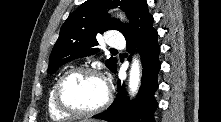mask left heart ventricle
I'll use <instances>...</instances> for the list:
<instances>
[{
  "mask_svg": "<svg viewBox=\"0 0 221 122\" xmlns=\"http://www.w3.org/2000/svg\"><path fill=\"white\" fill-rule=\"evenodd\" d=\"M106 88L103 81L91 74H79L64 86L65 101L78 109L89 110L97 107L105 98Z\"/></svg>",
  "mask_w": 221,
  "mask_h": 122,
  "instance_id": "left-heart-ventricle-1",
  "label": "left heart ventricle"
}]
</instances>
